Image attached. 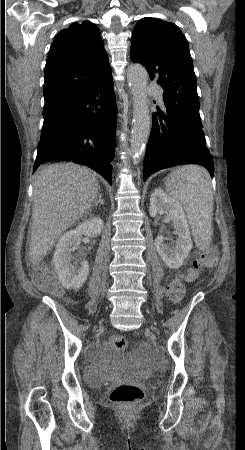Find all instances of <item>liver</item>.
<instances>
[{
  "mask_svg": "<svg viewBox=\"0 0 245 450\" xmlns=\"http://www.w3.org/2000/svg\"><path fill=\"white\" fill-rule=\"evenodd\" d=\"M99 190L95 176L74 163L39 169L30 226L29 257L33 265H38L59 236L90 210Z\"/></svg>",
  "mask_w": 245,
  "mask_h": 450,
  "instance_id": "6515ba94",
  "label": "liver"
}]
</instances>
